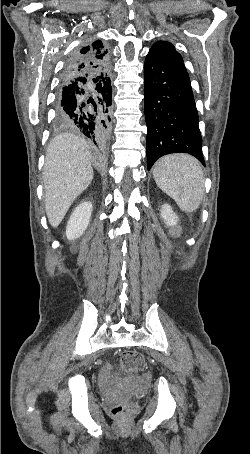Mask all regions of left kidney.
Here are the masks:
<instances>
[{
	"label": "left kidney",
	"mask_w": 250,
	"mask_h": 454,
	"mask_svg": "<svg viewBox=\"0 0 250 454\" xmlns=\"http://www.w3.org/2000/svg\"><path fill=\"white\" fill-rule=\"evenodd\" d=\"M161 218L165 224L169 227H174L178 223V217L173 212L172 207L168 204H164L161 208Z\"/></svg>",
	"instance_id": "obj_1"
}]
</instances>
